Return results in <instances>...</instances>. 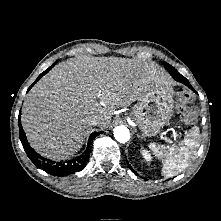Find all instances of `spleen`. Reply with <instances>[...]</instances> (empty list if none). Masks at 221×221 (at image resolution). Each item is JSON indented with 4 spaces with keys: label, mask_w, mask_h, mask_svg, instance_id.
<instances>
[{
    "label": "spleen",
    "mask_w": 221,
    "mask_h": 221,
    "mask_svg": "<svg viewBox=\"0 0 221 221\" xmlns=\"http://www.w3.org/2000/svg\"><path fill=\"white\" fill-rule=\"evenodd\" d=\"M199 129L194 127L184 140L176 146H164L150 143L149 148L155 157L162 161V175L175 176L184 171L196 156L199 147Z\"/></svg>",
    "instance_id": "1"
}]
</instances>
